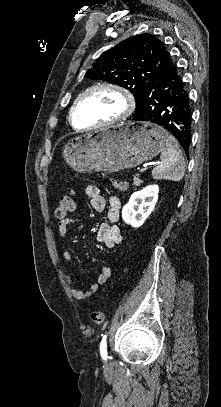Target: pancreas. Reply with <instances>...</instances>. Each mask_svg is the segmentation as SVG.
Segmentation results:
<instances>
[{
  "label": "pancreas",
  "mask_w": 221,
  "mask_h": 407,
  "mask_svg": "<svg viewBox=\"0 0 221 407\" xmlns=\"http://www.w3.org/2000/svg\"><path fill=\"white\" fill-rule=\"evenodd\" d=\"M133 180H134L133 185L136 186V187L140 186L141 183L143 182L138 176H134Z\"/></svg>",
  "instance_id": "cf45deb5"
}]
</instances>
